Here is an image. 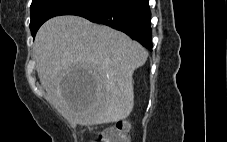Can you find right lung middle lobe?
<instances>
[{"label":"right lung middle lobe","mask_w":227,"mask_h":142,"mask_svg":"<svg viewBox=\"0 0 227 142\" xmlns=\"http://www.w3.org/2000/svg\"><path fill=\"white\" fill-rule=\"evenodd\" d=\"M110 0H33L30 29L32 36L48 19L59 15H78L105 5Z\"/></svg>","instance_id":"right-lung-middle-lobe-1"}]
</instances>
